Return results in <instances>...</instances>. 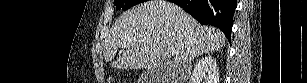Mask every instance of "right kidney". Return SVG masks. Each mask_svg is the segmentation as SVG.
Wrapping results in <instances>:
<instances>
[{
	"mask_svg": "<svg viewBox=\"0 0 307 83\" xmlns=\"http://www.w3.org/2000/svg\"><path fill=\"white\" fill-rule=\"evenodd\" d=\"M219 72L216 60L212 56L201 58L195 65L190 83H218Z\"/></svg>",
	"mask_w": 307,
	"mask_h": 83,
	"instance_id": "1",
	"label": "right kidney"
}]
</instances>
